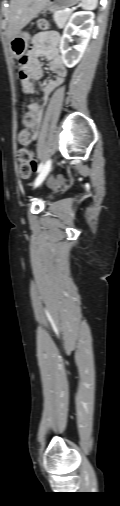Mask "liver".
Listing matches in <instances>:
<instances>
[{
  "label": "liver",
  "instance_id": "1",
  "mask_svg": "<svg viewBox=\"0 0 120 506\" xmlns=\"http://www.w3.org/2000/svg\"><path fill=\"white\" fill-rule=\"evenodd\" d=\"M49 0H11L7 16V37L12 39L40 11L46 8Z\"/></svg>",
  "mask_w": 120,
  "mask_h": 506
}]
</instances>
